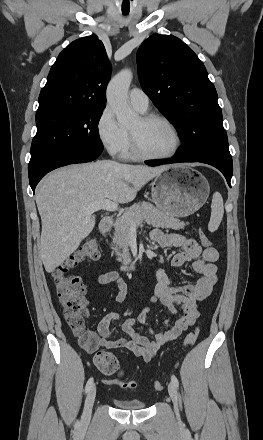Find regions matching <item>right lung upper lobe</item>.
<instances>
[{
	"label": "right lung upper lobe",
	"instance_id": "obj_1",
	"mask_svg": "<svg viewBox=\"0 0 263 440\" xmlns=\"http://www.w3.org/2000/svg\"><path fill=\"white\" fill-rule=\"evenodd\" d=\"M111 67L96 35L69 44L53 64L39 96L38 110L105 107Z\"/></svg>",
	"mask_w": 263,
	"mask_h": 440
}]
</instances>
